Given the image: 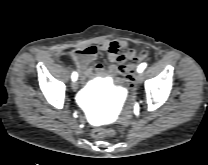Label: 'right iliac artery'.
<instances>
[{"instance_id": "obj_1", "label": "right iliac artery", "mask_w": 208, "mask_h": 165, "mask_svg": "<svg viewBox=\"0 0 208 165\" xmlns=\"http://www.w3.org/2000/svg\"><path fill=\"white\" fill-rule=\"evenodd\" d=\"M77 77H78L77 73L76 72H73L72 73V76H71L72 80L73 81H76L77 80Z\"/></svg>"}]
</instances>
